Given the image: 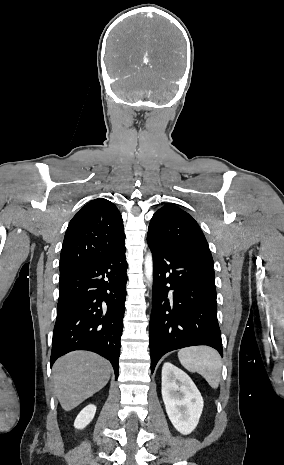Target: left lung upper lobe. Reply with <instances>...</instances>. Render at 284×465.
Here are the masks:
<instances>
[{"label": "left lung upper lobe", "instance_id": "1", "mask_svg": "<svg viewBox=\"0 0 284 465\" xmlns=\"http://www.w3.org/2000/svg\"><path fill=\"white\" fill-rule=\"evenodd\" d=\"M147 238L162 247L213 266V258L195 219L173 204L160 208L152 217Z\"/></svg>", "mask_w": 284, "mask_h": 465}]
</instances>
